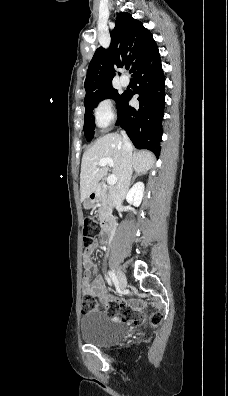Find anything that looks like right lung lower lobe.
Here are the masks:
<instances>
[{"mask_svg": "<svg viewBox=\"0 0 228 396\" xmlns=\"http://www.w3.org/2000/svg\"><path fill=\"white\" fill-rule=\"evenodd\" d=\"M133 77L139 86L134 92H124L118 106L116 125L126 130L136 148L148 149L158 157L164 116L165 77L157 46L133 73ZM134 94H139L137 108L129 105Z\"/></svg>", "mask_w": 228, "mask_h": 396, "instance_id": "98d812e1", "label": "right lung lower lobe"}]
</instances>
